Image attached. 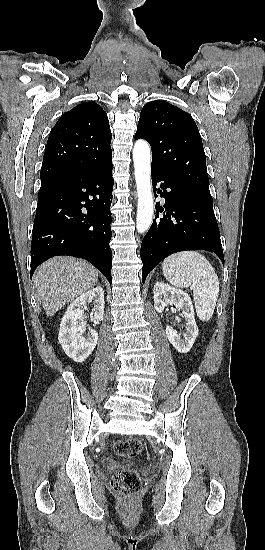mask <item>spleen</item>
I'll return each instance as SVG.
<instances>
[{
	"label": "spleen",
	"mask_w": 265,
	"mask_h": 550,
	"mask_svg": "<svg viewBox=\"0 0 265 550\" xmlns=\"http://www.w3.org/2000/svg\"><path fill=\"white\" fill-rule=\"evenodd\" d=\"M162 270L172 285L192 287L197 316L210 320L219 296V279L209 261L196 251H184L167 257Z\"/></svg>",
	"instance_id": "spleen-1"
}]
</instances>
